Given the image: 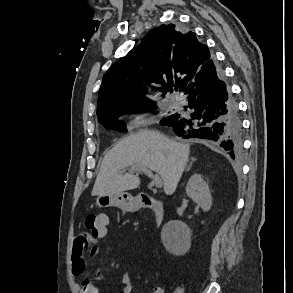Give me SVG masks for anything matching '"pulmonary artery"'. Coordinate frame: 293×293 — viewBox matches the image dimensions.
<instances>
[{"instance_id": "1", "label": "pulmonary artery", "mask_w": 293, "mask_h": 293, "mask_svg": "<svg viewBox=\"0 0 293 293\" xmlns=\"http://www.w3.org/2000/svg\"><path fill=\"white\" fill-rule=\"evenodd\" d=\"M173 103H177V100L176 99H173Z\"/></svg>"}]
</instances>
